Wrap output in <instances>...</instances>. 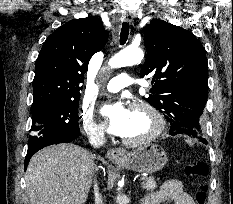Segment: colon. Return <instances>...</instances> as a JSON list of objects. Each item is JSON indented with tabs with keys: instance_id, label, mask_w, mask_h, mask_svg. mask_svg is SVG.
Returning <instances> with one entry per match:
<instances>
[{
	"instance_id": "colon-1",
	"label": "colon",
	"mask_w": 233,
	"mask_h": 204,
	"mask_svg": "<svg viewBox=\"0 0 233 204\" xmlns=\"http://www.w3.org/2000/svg\"><path fill=\"white\" fill-rule=\"evenodd\" d=\"M184 173L188 177L207 176L208 166L205 161L197 160L188 165L184 169ZM207 200V187H201L195 194V204H205Z\"/></svg>"
}]
</instances>
